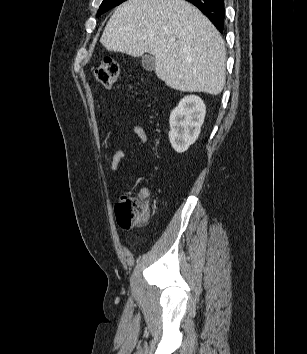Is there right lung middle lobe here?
Segmentation results:
<instances>
[{"instance_id": "obj_1", "label": "right lung middle lobe", "mask_w": 307, "mask_h": 354, "mask_svg": "<svg viewBox=\"0 0 307 354\" xmlns=\"http://www.w3.org/2000/svg\"><path fill=\"white\" fill-rule=\"evenodd\" d=\"M126 0H103L102 4L100 5V8L98 10L97 16H100L101 14L105 13L109 9L121 4Z\"/></svg>"}]
</instances>
